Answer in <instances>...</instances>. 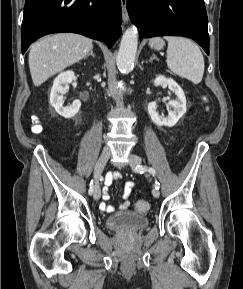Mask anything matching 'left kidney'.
<instances>
[{
    "label": "left kidney",
    "mask_w": 243,
    "mask_h": 289,
    "mask_svg": "<svg viewBox=\"0 0 243 289\" xmlns=\"http://www.w3.org/2000/svg\"><path fill=\"white\" fill-rule=\"evenodd\" d=\"M168 85V88L177 96L176 100H171L167 104L168 116L164 117L157 112V103L148 104V113L152 121L158 126L173 127L178 120L186 113V97L181 87L173 80L164 76H158L154 80V85ZM172 107L173 110H169Z\"/></svg>",
    "instance_id": "5707ae66"
}]
</instances>
